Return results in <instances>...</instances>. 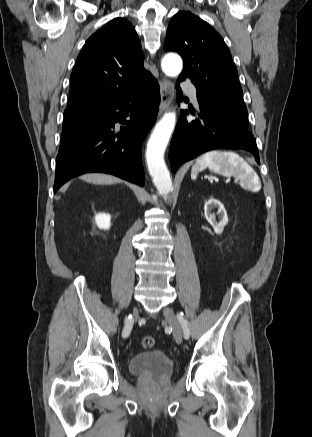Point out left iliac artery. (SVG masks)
I'll return each mask as SVG.
<instances>
[{"instance_id":"1","label":"left iliac artery","mask_w":312,"mask_h":437,"mask_svg":"<svg viewBox=\"0 0 312 437\" xmlns=\"http://www.w3.org/2000/svg\"><path fill=\"white\" fill-rule=\"evenodd\" d=\"M177 317H178V319H179V321H180V323H181V326H182V329H183V333H184V337H185V338L189 337V335H190V330H189L188 321L185 320V318H184V316H183V313H179V314L177 315Z\"/></svg>"}]
</instances>
